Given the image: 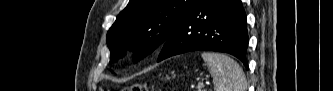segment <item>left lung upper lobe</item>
I'll return each mask as SVG.
<instances>
[{
    "instance_id": "obj_1",
    "label": "left lung upper lobe",
    "mask_w": 333,
    "mask_h": 91,
    "mask_svg": "<svg viewBox=\"0 0 333 91\" xmlns=\"http://www.w3.org/2000/svg\"><path fill=\"white\" fill-rule=\"evenodd\" d=\"M198 0H130L107 33L111 62L129 47L139 61L162 46Z\"/></svg>"
}]
</instances>
